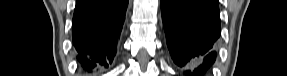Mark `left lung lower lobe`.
Instances as JSON below:
<instances>
[{
	"label": "left lung lower lobe",
	"mask_w": 287,
	"mask_h": 76,
	"mask_svg": "<svg viewBox=\"0 0 287 76\" xmlns=\"http://www.w3.org/2000/svg\"><path fill=\"white\" fill-rule=\"evenodd\" d=\"M161 13L174 63L187 68V76H204L221 34L217 0H161Z\"/></svg>",
	"instance_id": "left-lung-lower-lobe-1"
}]
</instances>
